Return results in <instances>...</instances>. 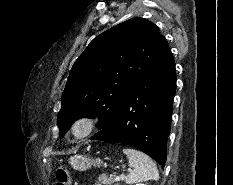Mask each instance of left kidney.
Here are the masks:
<instances>
[{"instance_id":"left-kidney-1","label":"left kidney","mask_w":233,"mask_h":185,"mask_svg":"<svg viewBox=\"0 0 233 185\" xmlns=\"http://www.w3.org/2000/svg\"><path fill=\"white\" fill-rule=\"evenodd\" d=\"M138 185H146V184H138Z\"/></svg>"}]
</instances>
